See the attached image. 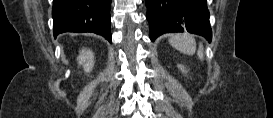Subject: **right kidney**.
I'll return each instance as SVG.
<instances>
[{
  "label": "right kidney",
  "mask_w": 273,
  "mask_h": 118,
  "mask_svg": "<svg viewBox=\"0 0 273 118\" xmlns=\"http://www.w3.org/2000/svg\"><path fill=\"white\" fill-rule=\"evenodd\" d=\"M78 64L83 66L86 73H89L94 65V55L92 51L82 49L78 57Z\"/></svg>",
  "instance_id": "1"
}]
</instances>
